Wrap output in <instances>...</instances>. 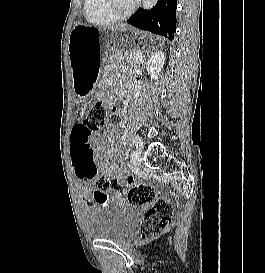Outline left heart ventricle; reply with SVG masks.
<instances>
[{
    "label": "left heart ventricle",
    "mask_w": 265,
    "mask_h": 273,
    "mask_svg": "<svg viewBox=\"0 0 265 273\" xmlns=\"http://www.w3.org/2000/svg\"><path fill=\"white\" fill-rule=\"evenodd\" d=\"M132 2V0H114V5L119 11H123L127 9Z\"/></svg>",
    "instance_id": "left-heart-ventricle-1"
}]
</instances>
